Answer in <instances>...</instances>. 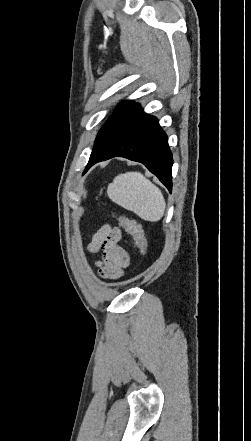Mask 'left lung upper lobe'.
Returning <instances> with one entry per match:
<instances>
[{
    "instance_id": "obj_1",
    "label": "left lung upper lobe",
    "mask_w": 251,
    "mask_h": 441,
    "mask_svg": "<svg viewBox=\"0 0 251 441\" xmlns=\"http://www.w3.org/2000/svg\"><path fill=\"white\" fill-rule=\"evenodd\" d=\"M134 102L133 101H125L122 102L117 109L115 110L114 114L112 116H122L124 114H126L133 106H134Z\"/></svg>"
}]
</instances>
